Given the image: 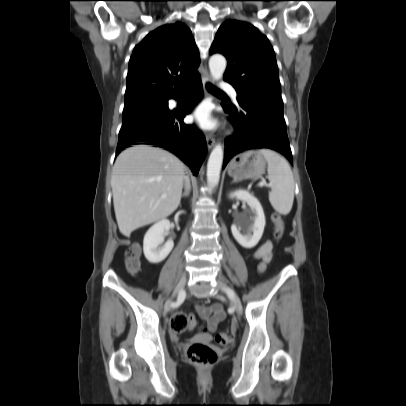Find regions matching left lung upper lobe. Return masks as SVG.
Wrapping results in <instances>:
<instances>
[{"label":"left lung upper lobe","instance_id":"obj_1","mask_svg":"<svg viewBox=\"0 0 406 406\" xmlns=\"http://www.w3.org/2000/svg\"><path fill=\"white\" fill-rule=\"evenodd\" d=\"M213 53H221L227 58L224 80L238 95V105H231L233 108L251 102L283 108L274 50L256 27L237 20L225 21L210 48V54Z\"/></svg>","mask_w":406,"mask_h":406}]
</instances>
